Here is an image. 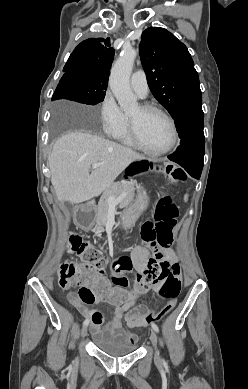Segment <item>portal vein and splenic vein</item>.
Segmentation results:
<instances>
[{
	"mask_svg": "<svg viewBox=\"0 0 248 389\" xmlns=\"http://www.w3.org/2000/svg\"><path fill=\"white\" fill-rule=\"evenodd\" d=\"M101 164H102V163H94V164L92 165V169L98 168ZM124 196H125V194L120 195L118 198H115V197H113V196H109V197H108V203H109V205H110V206H116L117 204H119V203L122 201V199L124 198Z\"/></svg>",
	"mask_w": 248,
	"mask_h": 389,
	"instance_id": "portal-vein-and-splenic-vein-1",
	"label": "portal vein and splenic vein"
}]
</instances>
